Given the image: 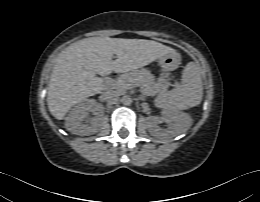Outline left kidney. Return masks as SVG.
<instances>
[{
    "instance_id": "1",
    "label": "left kidney",
    "mask_w": 260,
    "mask_h": 202,
    "mask_svg": "<svg viewBox=\"0 0 260 202\" xmlns=\"http://www.w3.org/2000/svg\"><path fill=\"white\" fill-rule=\"evenodd\" d=\"M147 119L148 130L150 134L156 138H160L166 135H178L183 131V129L190 121L189 117L186 114L177 111H163L162 116H150ZM161 122H174L175 126L170 130H162L158 126V123Z\"/></svg>"
}]
</instances>
